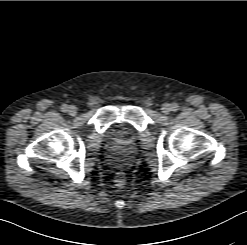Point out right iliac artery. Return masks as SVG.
<instances>
[{
  "label": "right iliac artery",
  "mask_w": 247,
  "mask_h": 245,
  "mask_svg": "<svg viewBox=\"0 0 247 245\" xmlns=\"http://www.w3.org/2000/svg\"><path fill=\"white\" fill-rule=\"evenodd\" d=\"M61 110H62L63 112H66V111L68 110V105H67V104H63V105L61 106Z\"/></svg>",
  "instance_id": "right-iliac-artery-1"
}]
</instances>
